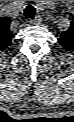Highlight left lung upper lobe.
Listing matches in <instances>:
<instances>
[{"mask_svg": "<svg viewBox=\"0 0 74 122\" xmlns=\"http://www.w3.org/2000/svg\"><path fill=\"white\" fill-rule=\"evenodd\" d=\"M59 42L66 50H74V20L70 28L62 32Z\"/></svg>", "mask_w": 74, "mask_h": 122, "instance_id": "obj_1", "label": "left lung upper lobe"}]
</instances>
